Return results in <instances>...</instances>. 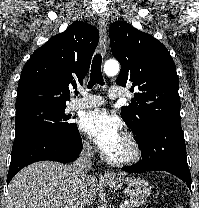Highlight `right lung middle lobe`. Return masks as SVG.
<instances>
[{
    "label": "right lung middle lobe",
    "mask_w": 199,
    "mask_h": 208,
    "mask_svg": "<svg viewBox=\"0 0 199 208\" xmlns=\"http://www.w3.org/2000/svg\"><path fill=\"white\" fill-rule=\"evenodd\" d=\"M66 107L31 106L16 110L15 136L28 131H45L61 136L75 129L77 125L68 120Z\"/></svg>",
    "instance_id": "1"
}]
</instances>
